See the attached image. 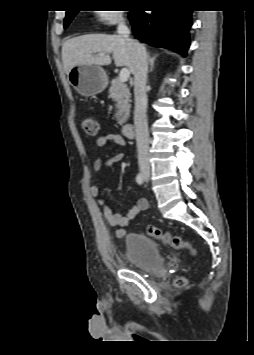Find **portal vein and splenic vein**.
I'll return each mask as SVG.
<instances>
[{"mask_svg": "<svg viewBox=\"0 0 254 355\" xmlns=\"http://www.w3.org/2000/svg\"><path fill=\"white\" fill-rule=\"evenodd\" d=\"M129 77H130V71L127 68H122L119 73V78H118L120 80V82H122V83L127 82Z\"/></svg>", "mask_w": 254, "mask_h": 355, "instance_id": "1", "label": "portal vein and splenic vein"}]
</instances>
